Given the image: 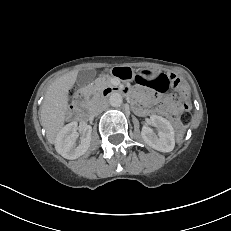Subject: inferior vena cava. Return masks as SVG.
Returning a JSON list of instances; mask_svg holds the SVG:
<instances>
[{
	"label": "inferior vena cava",
	"instance_id": "obj_1",
	"mask_svg": "<svg viewBox=\"0 0 231 231\" xmlns=\"http://www.w3.org/2000/svg\"><path fill=\"white\" fill-rule=\"evenodd\" d=\"M106 108V105H101V106H98L95 111H94V115H98L99 113H101L104 109Z\"/></svg>",
	"mask_w": 231,
	"mask_h": 231
}]
</instances>
